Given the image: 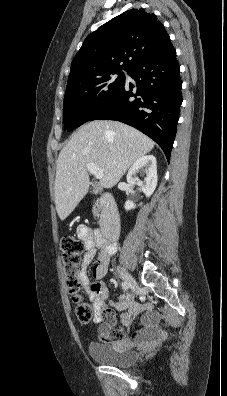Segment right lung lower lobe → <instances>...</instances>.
<instances>
[{
    "mask_svg": "<svg viewBox=\"0 0 227 396\" xmlns=\"http://www.w3.org/2000/svg\"><path fill=\"white\" fill-rule=\"evenodd\" d=\"M179 70L176 50L168 42L128 70L136 89L124 84L90 120H117L140 130L157 142L169 161L182 104Z\"/></svg>",
    "mask_w": 227,
    "mask_h": 396,
    "instance_id": "obj_1",
    "label": "right lung lower lobe"
}]
</instances>
